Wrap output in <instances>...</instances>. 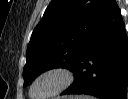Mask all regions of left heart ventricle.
Wrapping results in <instances>:
<instances>
[{
    "label": "left heart ventricle",
    "mask_w": 128,
    "mask_h": 99,
    "mask_svg": "<svg viewBox=\"0 0 128 99\" xmlns=\"http://www.w3.org/2000/svg\"><path fill=\"white\" fill-rule=\"evenodd\" d=\"M62 82V78L59 75H47L41 78L33 88V95L36 97H42L48 95L56 89Z\"/></svg>",
    "instance_id": "b2bd125f"
}]
</instances>
